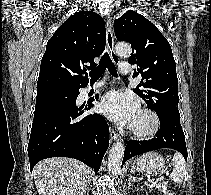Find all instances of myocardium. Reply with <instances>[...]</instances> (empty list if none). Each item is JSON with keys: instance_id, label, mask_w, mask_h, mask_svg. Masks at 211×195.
<instances>
[{"instance_id": "myocardium-1", "label": "myocardium", "mask_w": 211, "mask_h": 195, "mask_svg": "<svg viewBox=\"0 0 211 195\" xmlns=\"http://www.w3.org/2000/svg\"><path fill=\"white\" fill-rule=\"evenodd\" d=\"M139 114L145 115L150 119V125L146 129H138L131 125L130 133L139 139H147L158 133L161 127V121L158 114L152 109L144 108L139 111Z\"/></svg>"}]
</instances>
